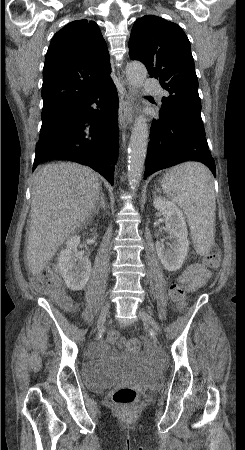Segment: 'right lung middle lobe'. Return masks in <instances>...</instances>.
<instances>
[{"label": "right lung middle lobe", "mask_w": 245, "mask_h": 450, "mask_svg": "<svg viewBox=\"0 0 245 450\" xmlns=\"http://www.w3.org/2000/svg\"><path fill=\"white\" fill-rule=\"evenodd\" d=\"M53 112H42L41 118H42V124L45 123L46 118L52 114Z\"/></svg>", "instance_id": "obj_1"}]
</instances>
